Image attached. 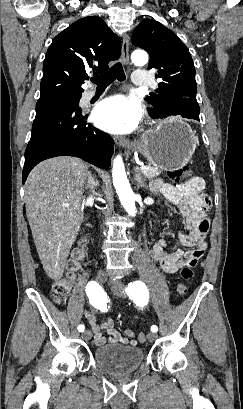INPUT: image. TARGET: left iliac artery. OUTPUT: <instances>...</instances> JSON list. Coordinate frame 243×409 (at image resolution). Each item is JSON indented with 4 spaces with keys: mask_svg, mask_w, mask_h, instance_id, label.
I'll return each instance as SVG.
<instances>
[{
    "mask_svg": "<svg viewBox=\"0 0 243 409\" xmlns=\"http://www.w3.org/2000/svg\"><path fill=\"white\" fill-rule=\"evenodd\" d=\"M126 293L129 295L131 299L135 301V300H140V299H143L144 297H147L148 290L143 282L137 281V282L128 284ZM151 331L154 333L157 332L158 327L156 325H152Z\"/></svg>",
    "mask_w": 243,
    "mask_h": 409,
    "instance_id": "left-iliac-artery-1",
    "label": "left iliac artery"
}]
</instances>
